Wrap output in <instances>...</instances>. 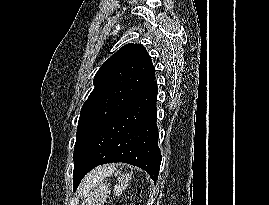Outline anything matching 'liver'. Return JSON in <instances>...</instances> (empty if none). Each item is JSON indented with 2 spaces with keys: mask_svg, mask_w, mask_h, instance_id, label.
<instances>
[{
  "mask_svg": "<svg viewBox=\"0 0 269 205\" xmlns=\"http://www.w3.org/2000/svg\"><path fill=\"white\" fill-rule=\"evenodd\" d=\"M113 171L112 166H100L97 169L90 172L86 179L84 180L83 187L85 192L95 187L99 181H101L104 177H106L110 172Z\"/></svg>",
  "mask_w": 269,
  "mask_h": 205,
  "instance_id": "6515ba94",
  "label": "liver"
}]
</instances>
